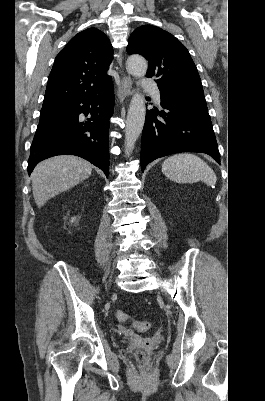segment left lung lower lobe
<instances>
[{
    "label": "left lung lower lobe",
    "mask_w": 265,
    "mask_h": 401,
    "mask_svg": "<svg viewBox=\"0 0 265 401\" xmlns=\"http://www.w3.org/2000/svg\"><path fill=\"white\" fill-rule=\"evenodd\" d=\"M165 111L149 110L141 139V169L151 161L179 152H200L220 164V154L204 95L160 91ZM158 114L162 118H157Z\"/></svg>",
    "instance_id": "obj_1"
}]
</instances>
